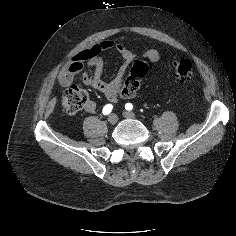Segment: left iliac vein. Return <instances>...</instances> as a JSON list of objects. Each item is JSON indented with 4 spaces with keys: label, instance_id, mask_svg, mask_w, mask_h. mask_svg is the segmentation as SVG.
<instances>
[{
    "label": "left iliac vein",
    "instance_id": "left-iliac-vein-1",
    "mask_svg": "<svg viewBox=\"0 0 236 236\" xmlns=\"http://www.w3.org/2000/svg\"><path fill=\"white\" fill-rule=\"evenodd\" d=\"M123 116H124L125 118H129V119L135 118V114H134L133 112H129V111H125V112L123 113Z\"/></svg>",
    "mask_w": 236,
    "mask_h": 236
}]
</instances>
